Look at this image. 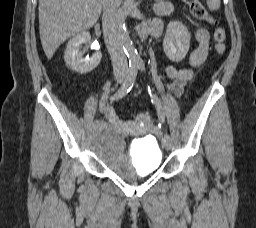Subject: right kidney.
Returning <instances> with one entry per match:
<instances>
[{
	"instance_id": "right-kidney-1",
	"label": "right kidney",
	"mask_w": 256,
	"mask_h": 228,
	"mask_svg": "<svg viewBox=\"0 0 256 228\" xmlns=\"http://www.w3.org/2000/svg\"><path fill=\"white\" fill-rule=\"evenodd\" d=\"M91 40L89 32H81L74 36L67 44L64 60L66 64L75 72L86 74L94 70L101 61V52H96L91 58H83L80 51L83 43H88Z\"/></svg>"
}]
</instances>
